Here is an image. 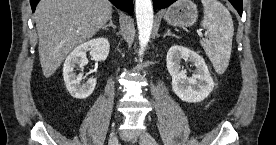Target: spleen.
Instances as JSON below:
<instances>
[{"mask_svg":"<svg viewBox=\"0 0 276 145\" xmlns=\"http://www.w3.org/2000/svg\"><path fill=\"white\" fill-rule=\"evenodd\" d=\"M204 17L201 22L209 39L200 41L206 55L218 74L229 65L234 35L233 20L228 9L217 0H202Z\"/></svg>","mask_w":276,"mask_h":145,"instance_id":"1","label":"spleen"}]
</instances>
